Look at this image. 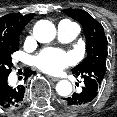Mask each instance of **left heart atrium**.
Returning <instances> with one entry per match:
<instances>
[{"instance_id":"1","label":"left heart atrium","mask_w":117,"mask_h":117,"mask_svg":"<svg viewBox=\"0 0 117 117\" xmlns=\"http://www.w3.org/2000/svg\"><path fill=\"white\" fill-rule=\"evenodd\" d=\"M73 62L70 53L61 49H46L34 59V65L40 70L56 74Z\"/></svg>"}]
</instances>
